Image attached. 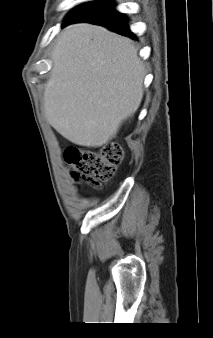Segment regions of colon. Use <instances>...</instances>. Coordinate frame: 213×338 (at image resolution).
I'll use <instances>...</instances> for the list:
<instances>
[{
	"instance_id": "colon-1",
	"label": "colon",
	"mask_w": 213,
	"mask_h": 338,
	"mask_svg": "<svg viewBox=\"0 0 213 338\" xmlns=\"http://www.w3.org/2000/svg\"><path fill=\"white\" fill-rule=\"evenodd\" d=\"M63 156L75 180H86L92 187L98 188L115 176L123 150L119 144L110 142L97 149L68 147Z\"/></svg>"
}]
</instances>
